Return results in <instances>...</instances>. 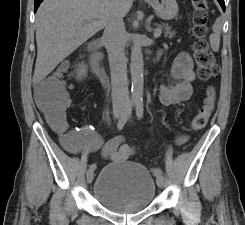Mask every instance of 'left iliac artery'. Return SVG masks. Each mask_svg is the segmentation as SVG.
Listing matches in <instances>:
<instances>
[{
  "label": "left iliac artery",
  "instance_id": "44dca946",
  "mask_svg": "<svg viewBox=\"0 0 245 225\" xmlns=\"http://www.w3.org/2000/svg\"><path fill=\"white\" fill-rule=\"evenodd\" d=\"M143 112H144L143 101L142 100L136 101V115L138 119H141L143 117ZM154 175L157 178H159L160 176H162V170L160 168H156L154 170Z\"/></svg>",
  "mask_w": 245,
  "mask_h": 225
}]
</instances>
